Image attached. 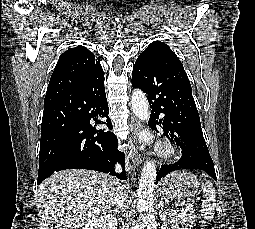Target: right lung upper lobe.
<instances>
[{
	"label": "right lung upper lobe",
	"instance_id": "right-lung-upper-lobe-1",
	"mask_svg": "<svg viewBox=\"0 0 255 229\" xmlns=\"http://www.w3.org/2000/svg\"><path fill=\"white\" fill-rule=\"evenodd\" d=\"M99 67H101L100 63L86 47L77 46L65 51L61 54L51 76L44 106L70 97L79 82Z\"/></svg>",
	"mask_w": 255,
	"mask_h": 229
}]
</instances>
